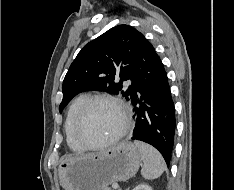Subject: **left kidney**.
<instances>
[{
	"label": "left kidney",
	"mask_w": 234,
	"mask_h": 190,
	"mask_svg": "<svg viewBox=\"0 0 234 190\" xmlns=\"http://www.w3.org/2000/svg\"><path fill=\"white\" fill-rule=\"evenodd\" d=\"M133 190H152V188L146 184H140L137 185Z\"/></svg>",
	"instance_id": "1"
}]
</instances>
